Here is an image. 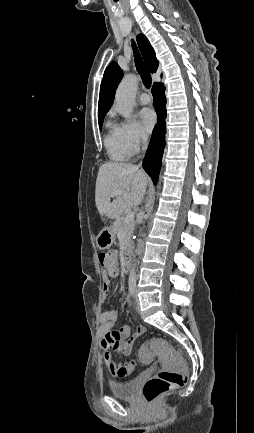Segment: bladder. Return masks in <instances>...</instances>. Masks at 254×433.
<instances>
[{"label": "bladder", "mask_w": 254, "mask_h": 433, "mask_svg": "<svg viewBox=\"0 0 254 433\" xmlns=\"http://www.w3.org/2000/svg\"><path fill=\"white\" fill-rule=\"evenodd\" d=\"M137 379H131L125 382H115L109 384L110 393L121 399H134L136 397Z\"/></svg>", "instance_id": "1"}]
</instances>
